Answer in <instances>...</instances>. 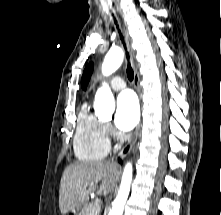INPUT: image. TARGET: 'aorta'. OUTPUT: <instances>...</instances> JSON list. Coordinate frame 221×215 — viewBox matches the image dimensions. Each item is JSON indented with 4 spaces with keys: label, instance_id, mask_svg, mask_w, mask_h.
Here are the masks:
<instances>
[{
    "label": "aorta",
    "instance_id": "obj_1",
    "mask_svg": "<svg viewBox=\"0 0 221 215\" xmlns=\"http://www.w3.org/2000/svg\"><path fill=\"white\" fill-rule=\"evenodd\" d=\"M124 53L120 47H112L105 55L102 64V73L104 76H109L114 73L122 64ZM94 109L96 114L104 115L110 113L114 109V97L110 87L104 83L95 95ZM132 181V164L125 165L120 189L117 197L112 203V208L108 215H122L125 203L129 196L130 186Z\"/></svg>",
    "mask_w": 221,
    "mask_h": 215
}]
</instances>
